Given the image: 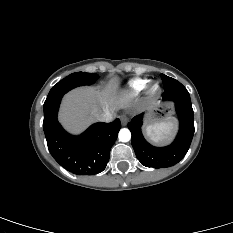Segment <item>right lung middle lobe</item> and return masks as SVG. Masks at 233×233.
<instances>
[{
	"instance_id": "obj_1",
	"label": "right lung middle lobe",
	"mask_w": 233,
	"mask_h": 233,
	"mask_svg": "<svg viewBox=\"0 0 233 233\" xmlns=\"http://www.w3.org/2000/svg\"><path fill=\"white\" fill-rule=\"evenodd\" d=\"M98 79L96 73L76 72L59 81L49 92L46 101L52 100L58 96H63L69 90L82 86L93 84Z\"/></svg>"
}]
</instances>
